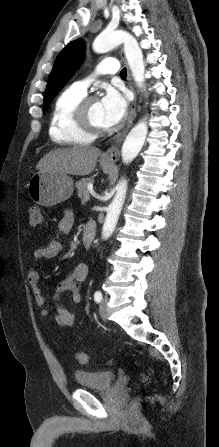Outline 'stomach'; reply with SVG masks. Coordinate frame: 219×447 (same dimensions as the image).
Listing matches in <instances>:
<instances>
[{"mask_svg":"<svg viewBox=\"0 0 219 447\" xmlns=\"http://www.w3.org/2000/svg\"><path fill=\"white\" fill-rule=\"evenodd\" d=\"M100 165L104 173L113 171L114 165L103 158L100 160ZM28 193L36 204L52 207L71 197L73 180L60 172L40 170L30 178Z\"/></svg>","mask_w":219,"mask_h":447,"instance_id":"stomach-1","label":"stomach"}]
</instances>
